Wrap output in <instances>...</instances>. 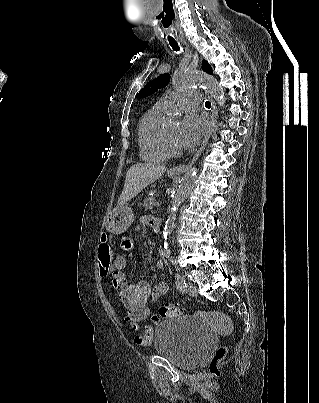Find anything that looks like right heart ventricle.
Returning a JSON list of instances; mask_svg holds the SVG:
<instances>
[{
  "label": "right heart ventricle",
  "instance_id": "right-heart-ventricle-1",
  "mask_svg": "<svg viewBox=\"0 0 319 403\" xmlns=\"http://www.w3.org/2000/svg\"><path fill=\"white\" fill-rule=\"evenodd\" d=\"M167 112L155 104L139 120L137 128L139 154L144 161L161 163L169 157L162 142L163 120Z\"/></svg>",
  "mask_w": 319,
  "mask_h": 403
}]
</instances>
